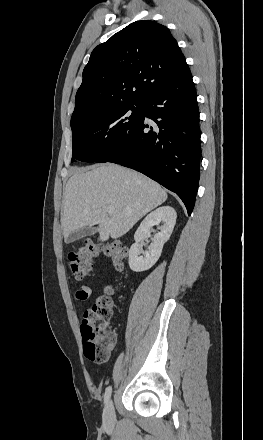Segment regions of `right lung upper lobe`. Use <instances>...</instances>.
Listing matches in <instances>:
<instances>
[{
	"mask_svg": "<svg viewBox=\"0 0 263 440\" xmlns=\"http://www.w3.org/2000/svg\"><path fill=\"white\" fill-rule=\"evenodd\" d=\"M188 70L165 26L150 20L133 22L93 50L76 93L71 128L102 109L142 103Z\"/></svg>",
	"mask_w": 263,
	"mask_h": 440,
	"instance_id": "1",
	"label": "right lung upper lobe"
}]
</instances>
